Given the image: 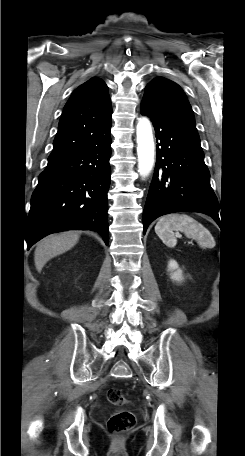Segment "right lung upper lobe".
I'll use <instances>...</instances> for the list:
<instances>
[{"label": "right lung upper lobe", "mask_w": 245, "mask_h": 456, "mask_svg": "<svg viewBox=\"0 0 245 456\" xmlns=\"http://www.w3.org/2000/svg\"><path fill=\"white\" fill-rule=\"evenodd\" d=\"M111 115V100L103 80L93 77L80 85L64 107L48 162L89 147L111 128Z\"/></svg>", "instance_id": "obj_1"}]
</instances>
